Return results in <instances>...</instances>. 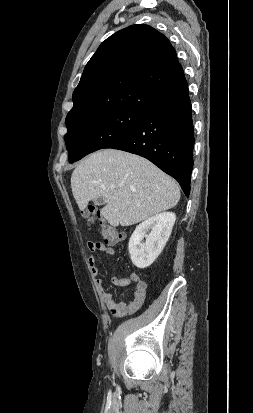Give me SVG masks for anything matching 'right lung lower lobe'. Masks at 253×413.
Masks as SVG:
<instances>
[{
  "label": "right lung lower lobe",
  "instance_id": "98d812e1",
  "mask_svg": "<svg viewBox=\"0 0 253 413\" xmlns=\"http://www.w3.org/2000/svg\"><path fill=\"white\" fill-rule=\"evenodd\" d=\"M106 148L147 158L175 178L185 195L190 193L194 127L188 89L149 108L140 123Z\"/></svg>",
  "mask_w": 253,
  "mask_h": 413
}]
</instances>
